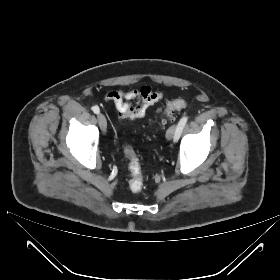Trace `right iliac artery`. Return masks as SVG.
<instances>
[{
  "label": "right iliac artery",
  "mask_w": 280,
  "mask_h": 280,
  "mask_svg": "<svg viewBox=\"0 0 280 280\" xmlns=\"http://www.w3.org/2000/svg\"><path fill=\"white\" fill-rule=\"evenodd\" d=\"M92 110H93V112H94L95 114H99V112H100V109H99L98 106H93V107H92Z\"/></svg>",
  "instance_id": "right-iliac-artery-1"
}]
</instances>
